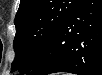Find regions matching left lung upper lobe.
Returning <instances> with one entry per match:
<instances>
[{
    "mask_svg": "<svg viewBox=\"0 0 102 75\" xmlns=\"http://www.w3.org/2000/svg\"><path fill=\"white\" fill-rule=\"evenodd\" d=\"M82 0H21L15 16V58L11 72L29 73L51 34Z\"/></svg>",
    "mask_w": 102,
    "mask_h": 75,
    "instance_id": "1",
    "label": "left lung upper lobe"
}]
</instances>
